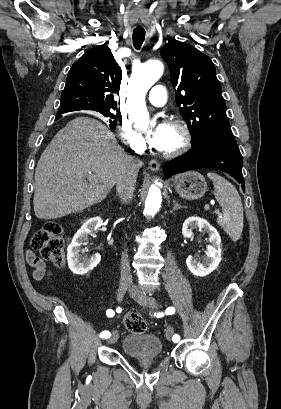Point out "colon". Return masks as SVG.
<instances>
[{"instance_id": "1", "label": "colon", "mask_w": 281, "mask_h": 409, "mask_svg": "<svg viewBox=\"0 0 281 409\" xmlns=\"http://www.w3.org/2000/svg\"><path fill=\"white\" fill-rule=\"evenodd\" d=\"M31 244L33 249L40 250V255H45V260L53 261L59 266L64 264L65 244L62 237V227L59 224L55 222L45 223L33 235ZM123 325L134 333H142L147 328L145 319L137 312L125 315Z\"/></svg>"}]
</instances>
